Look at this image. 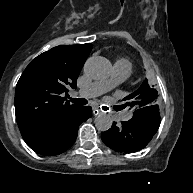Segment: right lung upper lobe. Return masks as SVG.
<instances>
[{
  "instance_id": "obj_1",
  "label": "right lung upper lobe",
  "mask_w": 193,
  "mask_h": 193,
  "mask_svg": "<svg viewBox=\"0 0 193 193\" xmlns=\"http://www.w3.org/2000/svg\"><path fill=\"white\" fill-rule=\"evenodd\" d=\"M92 44L57 46L36 57L21 75L15 91L17 123L25 141L53 135L81 106L64 101Z\"/></svg>"
}]
</instances>
